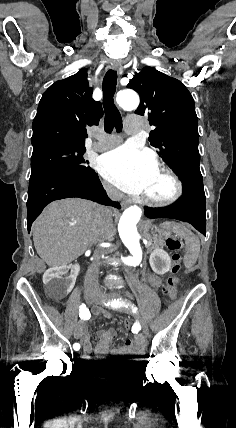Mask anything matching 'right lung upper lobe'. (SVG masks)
<instances>
[{"instance_id":"1","label":"right lung upper lobe","mask_w":236,"mask_h":428,"mask_svg":"<svg viewBox=\"0 0 236 428\" xmlns=\"http://www.w3.org/2000/svg\"><path fill=\"white\" fill-rule=\"evenodd\" d=\"M100 102L92 99L87 70L52 84L42 95L33 120V148L47 143L85 142L86 126L98 125Z\"/></svg>"}]
</instances>
